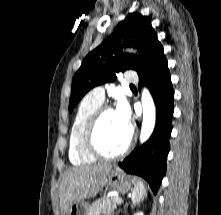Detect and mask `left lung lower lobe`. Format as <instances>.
<instances>
[{"mask_svg":"<svg viewBox=\"0 0 221 215\" xmlns=\"http://www.w3.org/2000/svg\"><path fill=\"white\" fill-rule=\"evenodd\" d=\"M139 78L140 85L147 86L153 96L156 125L149 140L120 162L119 166L127 173L143 177L156 194L166 172L174 111V90L163 48Z\"/></svg>","mask_w":221,"mask_h":215,"instance_id":"0a47b994","label":"left lung lower lobe"}]
</instances>
